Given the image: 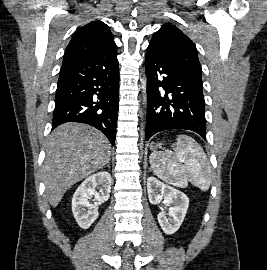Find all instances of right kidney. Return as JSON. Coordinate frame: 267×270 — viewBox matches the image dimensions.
Listing matches in <instances>:
<instances>
[{"label":"right kidney","mask_w":267,"mask_h":270,"mask_svg":"<svg viewBox=\"0 0 267 270\" xmlns=\"http://www.w3.org/2000/svg\"><path fill=\"white\" fill-rule=\"evenodd\" d=\"M111 182L110 173L102 171L86 178L75 191L72 212L81 228L88 229L97 219L99 205L109 199ZM93 196L94 204L89 202Z\"/></svg>","instance_id":"obj_1"}]
</instances>
